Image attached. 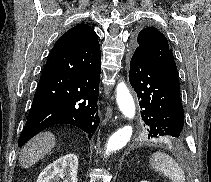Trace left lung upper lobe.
Returning <instances> with one entry per match:
<instances>
[{
	"label": "left lung upper lobe",
	"instance_id": "left-lung-upper-lobe-1",
	"mask_svg": "<svg viewBox=\"0 0 211 182\" xmlns=\"http://www.w3.org/2000/svg\"><path fill=\"white\" fill-rule=\"evenodd\" d=\"M148 59L164 74L166 79L180 90V83L173 53L167 38L156 28L147 27L141 30L135 44Z\"/></svg>",
	"mask_w": 211,
	"mask_h": 182
}]
</instances>
